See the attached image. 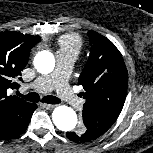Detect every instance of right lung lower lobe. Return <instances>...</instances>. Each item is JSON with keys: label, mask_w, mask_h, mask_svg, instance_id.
I'll list each match as a JSON object with an SVG mask.
<instances>
[{"label": "right lung lower lobe", "mask_w": 153, "mask_h": 153, "mask_svg": "<svg viewBox=\"0 0 153 153\" xmlns=\"http://www.w3.org/2000/svg\"><path fill=\"white\" fill-rule=\"evenodd\" d=\"M37 109V105L32 103L30 107L22 114L18 115L8 128L0 132L1 140H8L21 135L30 122L33 112Z\"/></svg>", "instance_id": "98d812e1"}]
</instances>
